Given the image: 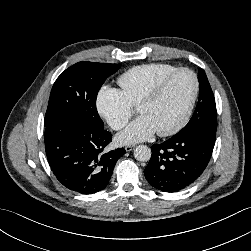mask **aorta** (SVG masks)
I'll return each instance as SVG.
<instances>
[{
	"instance_id": "1",
	"label": "aorta",
	"mask_w": 251,
	"mask_h": 251,
	"mask_svg": "<svg viewBox=\"0 0 251 251\" xmlns=\"http://www.w3.org/2000/svg\"><path fill=\"white\" fill-rule=\"evenodd\" d=\"M134 156L138 161H149L151 158V149L146 145H139L134 150Z\"/></svg>"
}]
</instances>
